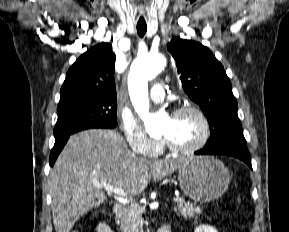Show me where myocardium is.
<instances>
[{
  "label": "myocardium",
  "mask_w": 289,
  "mask_h": 232,
  "mask_svg": "<svg viewBox=\"0 0 289 232\" xmlns=\"http://www.w3.org/2000/svg\"><path fill=\"white\" fill-rule=\"evenodd\" d=\"M185 112H193L198 116L203 126V133H202L201 138L196 143L190 146H177L164 137L163 141H164L166 148L170 152L175 153V154H190V153H194L200 150L207 144L211 135V125H210L209 119L207 115L205 114V112L196 105H193V104L182 105L176 108L171 113V117H176Z\"/></svg>",
  "instance_id": "myocardium-1"
}]
</instances>
